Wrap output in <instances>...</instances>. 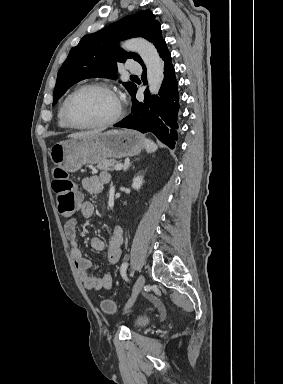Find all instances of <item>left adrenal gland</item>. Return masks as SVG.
<instances>
[{"label":"left adrenal gland","mask_w":283,"mask_h":384,"mask_svg":"<svg viewBox=\"0 0 283 384\" xmlns=\"http://www.w3.org/2000/svg\"><path fill=\"white\" fill-rule=\"evenodd\" d=\"M137 160H139V158H137ZM131 164H132V162H131ZM131 164H129V166H127V168H126V170H124V172H127V170H129Z\"/></svg>","instance_id":"a2214340"}]
</instances>
